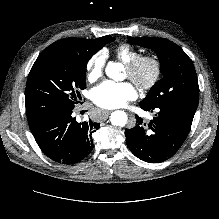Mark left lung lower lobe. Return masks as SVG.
Returning <instances> with one entry per match:
<instances>
[{
	"label": "left lung lower lobe",
	"instance_id": "0a47b994",
	"mask_svg": "<svg viewBox=\"0 0 219 219\" xmlns=\"http://www.w3.org/2000/svg\"><path fill=\"white\" fill-rule=\"evenodd\" d=\"M199 97H185L168 104L140 106L158 114L149 124L136 115L137 124L125 130L126 143L139 159L158 163L172 157L182 146L190 131Z\"/></svg>",
	"mask_w": 219,
	"mask_h": 219
}]
</instances>
